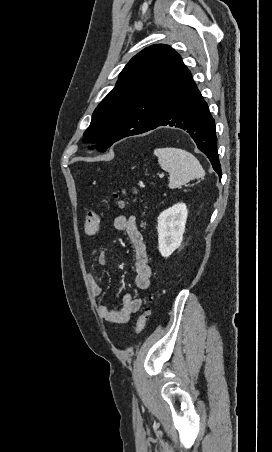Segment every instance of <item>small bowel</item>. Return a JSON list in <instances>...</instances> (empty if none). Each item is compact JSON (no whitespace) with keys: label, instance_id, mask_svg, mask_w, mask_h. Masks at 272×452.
<instances>
[{"label":"small bowel","instance_id":"small-bowel-1","mask_svg":"<svg viewBox=\"0 0 272 452\" xmlns=\"http://www.w3.org/2000/svg\"><path fill=\"white\" fill-rule=\"evenodd\" d=\"M114 227L119 231H124L129 236L134 251V269H135V285L138 289L145 290L150 286L151 267L149 265V258L144 238L138 229L137 221L131 215H118L114 219ZM106 245L99 243L91 251L90 256L96 258L99 264L107 265V258L105 255ZM89 284L93 296L99 300L104 294V288L97 282L94 275L89 276ZM142 307V299L125 294L122 298V307L115 308L107 303L100 302L98 305V312L100 317L112 324H126L130 321L132 315L140 310Z\"/></svg>","mask_w":272,"mask_h":452}]
</instances>
